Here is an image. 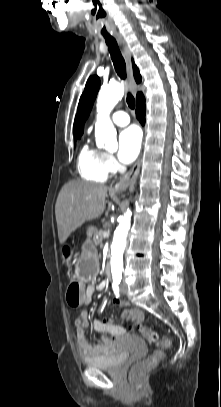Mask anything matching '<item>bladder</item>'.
<instances>
[{
  "label": "bladder",
  "mask_w": 221,
  "mask_h": 407,
  "mask_svg": "<svg viewBox=\"0 0 221 407\" xmlns=\"http://www.w3.org/2000/svg\"><path fill=\"white\" fill-rule=\"evenodd\" d=\"M137 350L140 353H145L147 350L145 342L140 338H133ZM128 355L118 349L109 353L108 355L97 358L85 360V364L89 367L100 369L103 371H117L122 364L127 360Z\"/></svg>",
  "instance_id": "obj_1"
}]
</instances>
